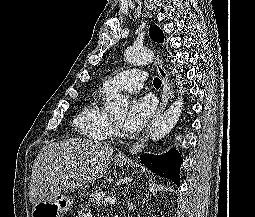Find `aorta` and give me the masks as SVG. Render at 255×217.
<instances>
[{"label": "aorta", "mask_w": 255, "mask_h": 217, "mask_svg": "<svg viewBox=\"0 0 255 217\" xmlns=\"http://www.w3.org/2000/svg\"><path fill=\"white\" fill-rule=\"evenodd\" d=\"M154 58V52L147 48H128L125 52V60L128 63L134 65L148 64L152 62ZM176 74V82L179 87V93L181 96L166 110V112L156 121L153 122L150 130V139L152 141H159L164 138L176 125L178 122L182 107H183V81H181V76L178 74L176 69L172 71ZM105 108L108 111L113 112H127L128 110V100L121 94L114 93L107 97Z\"/></svg>", "instance_id": "aorta-1"}]
</instances>
